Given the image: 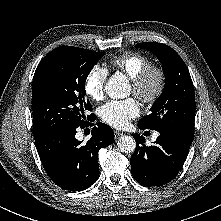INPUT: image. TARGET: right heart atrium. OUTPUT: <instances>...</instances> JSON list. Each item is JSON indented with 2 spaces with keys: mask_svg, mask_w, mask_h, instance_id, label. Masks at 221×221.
<instances>
[{
  "mask_svg": "<svg viewBox=\"0 0 221 221\" xmlns=\"http://www.w3.org/2000/svg\"><path fill=\"white\" fill-rule=\"evenodd\" d=\"M107 77L108 70L101 65H94L89 70L84 81V91L90 99L99 101L103 98Z\"/></svg>",
  "mask_w": 221,
  "mask_h": 221,
  "instance_id": "1",
  "label": "right heart atrium"
}]
</instances>
